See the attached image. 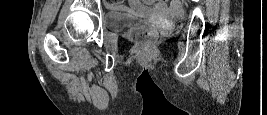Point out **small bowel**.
<instances>
[{"mask_svg":"<svg viewBox=\"0 0 267 115\" xmlns=\"http://www.w3.org/2000/svg\"><path fill=\"white\" fill-rule=\"evenodd\" d=\"M111 6L120 12L131 13L141 16L159 15L165 13L169 9L174 12L180 10V4L177 1L171 2L170 5L163 1H159L156 3H153L150 0H147L144 3L139 1H132L129 6H126L121 2L115 1L111 3Z\"/></svg>","mask_w":267,"mask_h":115,"instance_id":"obj_1","label":"small bowel"}]
</instances>
